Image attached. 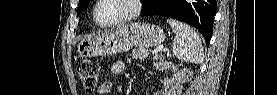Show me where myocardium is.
I'll return each instance as SVG.
<instances>
[{"label":"myocardium","instance_id":"f54148a6","mask_svg":"<svg viewBox=\"0 0 277 95\" xmlns=\"http://www.w3.org/2000/svg\"><path fill=\"white\" fill-rule=\"evenodd\" d=\"M104 0H97L95 6L93 7L92 14L94 21L101 27L104 28H110L115 27L121 24H124L126 22H129L130 20L134 19L141 11L142 9V1L141 0H124L127 2L130 6L129 12L117 19L111 20V21H102L98 15V8L102 4Z\"/></svg>","mask_w":277,"mask_h":95}]
</instances>
